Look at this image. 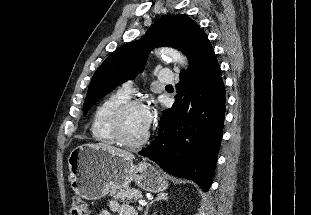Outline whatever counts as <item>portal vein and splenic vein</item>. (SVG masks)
Masks as SVG:
<instances>
[{"instance_id":"obj_1","label":"portal vein and splenic vein","mask_w":311,"mask_h":215,"mask_svg":"<svg viewBox=\"0 0 311 215\" xmlns=\"http://www.w3.org/2000/svg\"><path fill=\"white\" fill-rule=\"evenodd\" d=\"M139 205L141 206H145L147 204V202L145 200L140 199L139 201Z\"/></svg>"}]
</instances>
